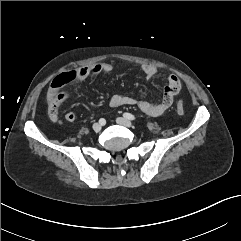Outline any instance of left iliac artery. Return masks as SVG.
<instances>
[{
    "instance_id": "left-iliac-artery-1",
    "label": "left iliac artery",
    "mask_w": 241,
    "mask_h": 241,
    "mask_svg": "<svg viewBox=\"0 0 241 241\" xmlns=\"http://www.w3.org/2000/svg\"><path fill=\"white\" fill-rule=\"evenodd\" d=\"M123 116L125 118L129 119V120H135L136 119L134 115H132L131 113H127V112L124 113Z\"/></svg>"
}]
</instances>
